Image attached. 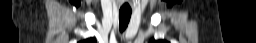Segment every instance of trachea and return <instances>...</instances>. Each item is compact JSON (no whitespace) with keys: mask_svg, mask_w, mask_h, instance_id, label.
<instances>
[{"mask_svg":"<svg viewBox=\"0 0 256 43\" xmlns=\"http://www.w3.org/2000/svg\"><path fill=\"white\" fill-rule=\"evenodd\" d=\"M131 18V10H122L120 9L119 11V28H120V32H123L130 21Z\"/></svg>","mask_w":256,"mask_h":43,"instance_id":"1","label":"trachea"}]
</instances>
